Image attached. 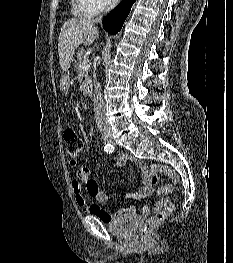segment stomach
Here are the masks:
<instances>
[{"instance_id": "obj_1", "label": "stomach", "mask_w": 233, "mask_h": 263, "mask_svg": "<svg viewBox=\"0 0 233 263\" xmlns=\"http://www.w3.org/2000/svg\"><path fill=\"white\" fill-rule=\"evenodd\" d=\"M69 77H56V82H60L59 87L61 91H69V88L72 87V84L69 83Z\"/></svg>"}]
</instances>
